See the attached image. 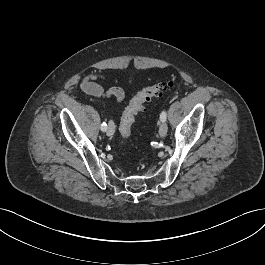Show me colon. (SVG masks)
I'll return each instance as SVG.
<instances>
[{"label":"colon","instance_id":"5ec220e1","mask_svg":"<svg viewBox=\"0 0 265 265\" xmlns=\"http://www.w3.org/2000/svg\"><path fill=\"white\" fill-rule=\"evenodd\" d=\"M170 87V82H157L147 86L131 99L130 103L123 112L119 126V132L123 140L129 138L132 126L135 122V117L138 113L144 111V104L151 103Z\"/></svg>","mask_w":265,"mask_h":265}]
</instances>
